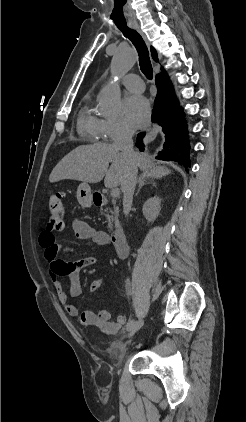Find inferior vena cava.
<instances>
[{
	"label": "inferior vena cava",
	"instance_id": "1",
	"mask_svg": "<svg viewBox=\"0 0 246 422\" xmlns=\"http://www.w3.org/2000/svg\"><path fill=\"white\" fill-rule=\"evenodd\" d=\"M134 130L128 126H123L114 140V146L118 148L122 155L126 157L128 170L125 180L121 186L123 192V211L125 215L129 214L132 206L133 194L137 180V154L133 149Z\"/></svg>",
	"mask_w": 246,
	"mask_h": 422
}]
</instances>
